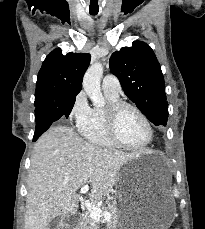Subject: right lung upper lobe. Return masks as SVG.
<instances>
[{"mask_svg":"<svg viewBox=\"0 0 205 229\" xmlns=\"http://www.w3.org/2000/svg\"><path fill=\"white\" fill-rule=\"evenodd\" d=\"M90 54L53 50L43 61L38 74L35 101L76 96L82 88L83 75L89 66Z\"/></svg>","mask_w":205,"mask_h":229,"instance_id":"cb5924a9","label":"right lung upper lobe"}]
</instances>
